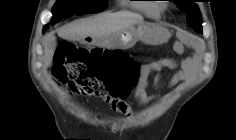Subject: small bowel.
<instances>
[{"label":"small bowel","mask_w":236,"mask_h":140,"mask_svg":"<svg viewBox=\"0 0 236 140\" xmlns=\"http://www.w3.org/2000/svg\"><path fill=\"white\" fill-rule=\"evenodd\" d=\"M175 51L179 54L183 53L184 45L179 42L175 44ZM164 69L176 70V72L167 80L164 81L162 78V72ZM143 74H154L153 85L157 88L162 87H175L181 88L183 83L194 79L197 73V61L193 58H184L180 61L174 58H164L160 60H151L142 68ZM172 94H168L161 100H169ZM156 97L147 95L144 91H140L138 94V102L140 105H145ZM114 111L122 113L125 116H131L133 113L132 107L124 100H120L116 103L111 104Z\"/></svg>","instance_id":"c3829d8e"}]
</instances>
